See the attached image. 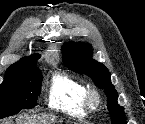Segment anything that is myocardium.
Listing matches in <instances>:
<instances>
[{
  "mask_svg": "<svg viewBox=\"0 0 145 124\" xmlns=\"http://www.w3.org/2000/svg\"><path fill=\"white\" fill-rule=\"evenodd\" d=\"M102 102L101 94L98 90L91 88L88 89L85 96V108L88 111H97Z\"/></svg>",
  "mask_w": 145,
  "mask_h": 124,
  "instance_id": "obj_1",
  "label": "myocardium"
}]
</instances>
